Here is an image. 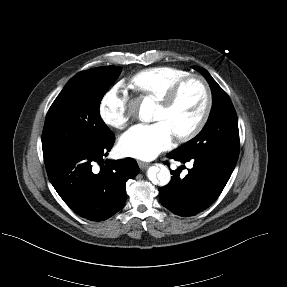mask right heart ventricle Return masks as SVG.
<instances>
[{
    "label": "right heart ventricle",
    "mask_w": 287,
    "mask_h": 287,
    "mask_svg": "<svg viewBox=\"0 0 287 287\" xmlns=\"http://www.w3.org/2000/svg\"><path fill=\"white\" fill-rule=\"evenodd\" d=\"M188 75V71L180 68L154 67L134 74L130 84L136 92L159 101L175 83Z\"/></svg>",
    "instance_id": "obj_1"
}]
</instances>
